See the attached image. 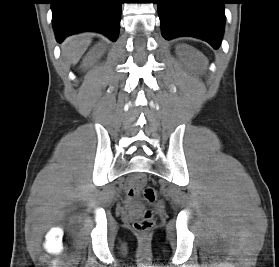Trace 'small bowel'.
I'll return each instance as SVG.
<instances>
[{"label":"small bowel","instance_id":"obj_1","mask_svg":"<svg viewBox=\"0 0 279 267\" xmlns=\"http://www.w3.org/2000/svg\"><path fill=\"white\" fill-rule=\"evenodd\" d=\"M137 187H138L137 178L132 179L128 184V196L130 198L135 195Z\"/></svg>","mask_w":279,"mask_h":267}]
</instances>
